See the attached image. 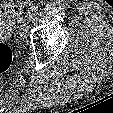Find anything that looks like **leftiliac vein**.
<instances>
[{
  "mask_svg": "<svg viewBox=\"0 0 113 113\" xmlns=\"http://www.w3.org/2000/svg\"><path fill=\"white\" fill-rule=\"evenodd\" d=\"M31 19L29 12L26 14L24 21L22 22L20 26V35L21 37H25L29 30L28 22Z\"/></svg>",
  "mask_w": 113,
  "mask_h": 113,
  "instance_id": "left-iliac-vein-1",
  "label": "left iliac vein"
}]
</instances>
